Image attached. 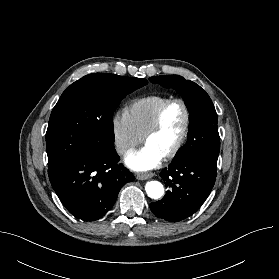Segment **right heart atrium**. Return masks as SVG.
<instances>
[{"label": "right heart atrium", "mask_w": 279, "mask_h": 279, "mask_svg": "<svg viewBox=\"0 0 279 279\" xmlns=\"http://www.w3.org/2000/svg\"><path fill=\"white\" fill-rule=\"evenodd\" d=\"M112 132L116 150L121 155L130 153L142 141V135L136 131L125 111L113 116Z\"/></svg>", "instance_id": "d8ad5b80"}]
</instances>
